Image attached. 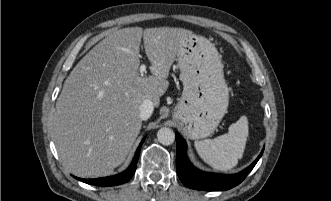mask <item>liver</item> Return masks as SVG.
Masks as SVG:
<instances>
[{
    "label": "liver",
    "mask_w": 331,
    "mask_h": 201,
    "mask_svg": "<svg viewBox=\"0 0 331 201\" xmlns=\"http://www.w3.org/2000/svg\"><path fill=\"white\" fill-rule=\"evenodd\" d=\"M193 33L173 27H128L95 45L64 82L53 116L63 164L78 177L110 174L130 152L141 127L144 100L159 105L170 68ZM151 76L139 74L140 44Z\"/></svg>",
    "instance_id": "liver-1"
}]
</instances>
